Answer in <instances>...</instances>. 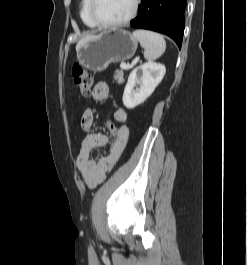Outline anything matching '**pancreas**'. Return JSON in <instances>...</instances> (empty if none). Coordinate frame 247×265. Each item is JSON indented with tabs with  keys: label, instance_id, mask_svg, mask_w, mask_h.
Returning a JSON list of instances; mask_svg holds the SVG:
<instances>
[{
	"label": "pancreas",
	"instance_id": "obj_1",
	"mask_svg": "<svg viewBox=\"0 0 247 265\" xmlns=\"http://www.w3.org/2000/svg\"><path fill=\"white\" fill-rule=\"evenodd\" d=\"M114 79L117 81L118 84L124 82V72L123 70H117L114 75Z\"/></svg>",
	"mask_w": 247,
	"mask_h": 265
}]
</instances>
